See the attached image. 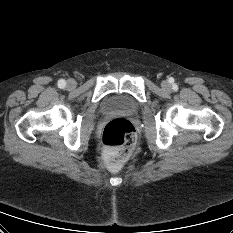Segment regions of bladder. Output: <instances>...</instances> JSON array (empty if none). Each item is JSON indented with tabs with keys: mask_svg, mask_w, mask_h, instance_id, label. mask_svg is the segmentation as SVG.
<instances>
[{
	"mask_svg": "<svg viewBox=\"0 0 233 233\" xmlns=\"http://www.w3.org/2000/svg\"><path fill=\"white\" fill-rule=\"evenodd\" d=\"M137 109V102L130 96L114 94L108 96L102 103L104 112H133Z\"/></svg>",
	"mask_w": 233,
	"mask_h": 233,
	"instance_id": "bladder-1",
	"label": "bladder"
}]
</instances>
